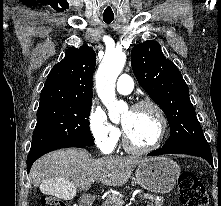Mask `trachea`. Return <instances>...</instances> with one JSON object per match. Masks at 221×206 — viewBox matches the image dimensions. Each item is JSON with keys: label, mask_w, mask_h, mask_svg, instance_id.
<instances>
[{"label": "trachea", "mask_w": 221, "mask_h": 206, "mask_svg": "<svg viewBox=\"0 0 221 206\" xmlns=\"http://www.w3.org/2000/svg\"><path fill=\"white\" fill-rule=\"evenodd\" d=\"M103 20L105 23L109 24L114 20V16H103Z\"/></svg>", "instance_id": "3493384b"}]
</instances>
